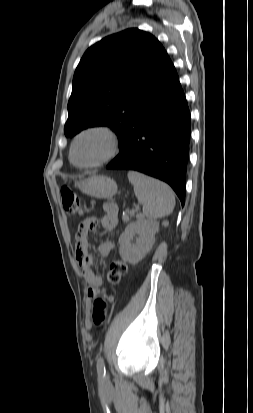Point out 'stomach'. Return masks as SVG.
Returning a JSON list of instances; mask_svg holds the SVG:
<instances>
[{
    "label": "stomach",
    "mask_w": 253,
    "mask_h": 413,
    "mask_svg": "<svg viewBox=\"0 0 253 413\" xmlns=\"http://www.w3.org/2000/svg\"><path fill=\"white\" fill-rule=\"evenodd\" d=\"M76 186L88 196L106 199L117 193V184L109 177L93 175L76 183Z\"/></svg>",
    "instance_id": "0dacf381"
}]
</instances>
